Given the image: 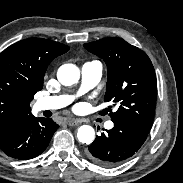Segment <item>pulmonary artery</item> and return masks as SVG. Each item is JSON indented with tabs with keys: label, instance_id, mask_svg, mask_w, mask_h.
Returning <instances> with one entry per match:
<instances>
[{
	"label": "pulmonary artery",
	"instance_id": "pulmonary-artery-1",
	"mask_svg": "<svg viewBox=\"0 0 183 183\" xmlns=\"http://www.w3.org/2000/svg\"><path fill=\"white\" fill-rule=\"evenodd\" d=\"M103 67L99 61L86 62L81 67V86L79 94H83L96 86L102 77ZM73 100L69 95H58L43 97L36 101L35 110H56L65 107ZM106 128L111 129L113 123L111 121L106 123Z\"/></svg>",
	"mask_w": 183,
	"mask_h": 183
}]
</instances>
